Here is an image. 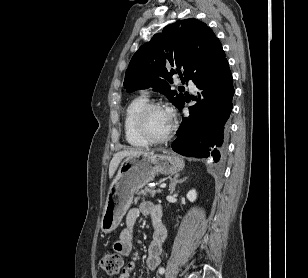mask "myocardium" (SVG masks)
Returning a JSON list of instances; mask_svg holds the SVG:
<instances>
[{
	"mask_svg": "<svg viewBox=\"0 0 308 278\" xmlns=\"http://www.w3.org/2000/svg\"><path fill=\"white\" fill-rule=\"evenodd\" d=\"M155 109H164V106L160 103H146L141 107L134 117V126L138 134L149 144H161L168 141L174 130V125L171 123L167 133L161 137L153 136L146 127V117L147 115Z\"/></svg>",
	"mask_w": 308,
	"mask_h": 278,
	"instance_id": "f54148a6",
	"label": "myocardium"
}]
</instances>
